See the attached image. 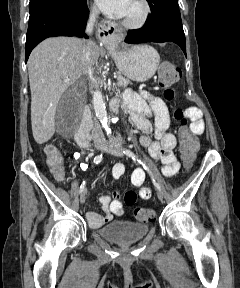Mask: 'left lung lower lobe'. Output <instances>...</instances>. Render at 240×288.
Returning <instances> with one entry per match:
<instances>
[{"label": "left lung lower lobe", "mask_w": 240, "mask_h": 288, "mask_svg": "<svg viewBox=\"0 0 240 288\" xmlns=\"http://www.w3.org/2000/svg\"><path fill=\"white\" fill-rule=\"evenodd\" d=\"M166 41L178 44L186 55L185 35L178 4L163 0L151 9V15L144 27L128 31L125 42L137 44Z\"/></svg>", "instance_id": "left-lung-lower-lobe-1"}]
</instances>
